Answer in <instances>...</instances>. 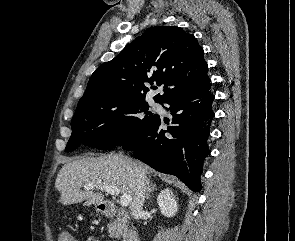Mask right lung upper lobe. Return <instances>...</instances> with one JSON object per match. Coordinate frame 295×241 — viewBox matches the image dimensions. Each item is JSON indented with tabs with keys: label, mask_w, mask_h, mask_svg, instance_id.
Instances as JSON below:
<instances>
[{
	"label": "right lung upper lobe",
	"mask_w": 295,
	"mask_h": 241,
	"mask_svg": "<svg viewBox=\"0 0 295 241\" xmlns=\"http://www.w3.org/2000/svg\"><path fill=\"white\" fill-rule=\"evenodd\" d=\"M204 51L192 34L175 26L152 27L92 74L79 102L123 98L145 102L149 85L164 84L163 103L188 89L206 84Z\"/></svg>",
	"instance_id": "1"
}]
</instances>
